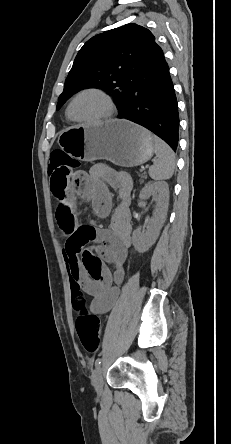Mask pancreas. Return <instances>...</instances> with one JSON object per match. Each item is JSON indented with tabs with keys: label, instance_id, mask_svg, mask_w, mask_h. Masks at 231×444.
<instances>
[{
	"label": "pancreas",
	"instance_id": "cf45deb5",
	"mask_svg": "<svg viewBox=\"0 0 231 444\" xmlns=\"http://www.w3.org/2000/svg\"><path fill=\"white\" fill-rule=\"evenodd\" d=\"M141 178H147V175H146V173H143V174H141Z\"/></svg>",
	"mask_w": 231,
	"mask_h": 444
}]
</instances>
